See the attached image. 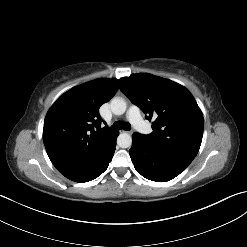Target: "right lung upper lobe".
Returning <instances> with one entry per match:
<instances>
[{"label":"right lung upper lobe","mask_w":247,"mask_h":247,"mask_svg":"<svg viewBox=\"0 0 247 247\" xmlns=\"http://www.w3.org/2000/svg\"><path fill=\"white\" fill-rule=\"evenodd\" d=\"M118 83L117 79L90 81L61 95L50 108L43 141L51 162L61 173L89 164L115 135L116 131L107 127L101 130L99 108L116 94Z\"/></svg>","instance_id":"cb5924a9"}]
</instances>
